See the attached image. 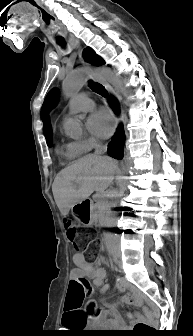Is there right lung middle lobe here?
I'll use <instances>...</instances> for the list:
<instances>
[{
  "mask_svg": "<svg viewBox=\"0 0 193 336\" xmlns=\"http://www.w3.org/2000/svg\"><path fill=\"white\" fill-rule=\"evenodd\" d=\"M47 144H48V146H50V140H47Z\"/></svg>",
  "mask_w": 193,
  "mask_h": 336,
  "instance_id": "obj_1",
  "label": "right lung middle lobe"
}]
</instances>
